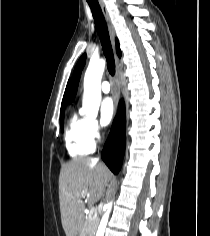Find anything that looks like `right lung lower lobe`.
Masks as SVG:
<instances>
[{"label": "right lung lower lobe", "mask_w": 210, "mask_h": 236, "mask_svg": "<svg viewBox=\"0 0 210 236\" xmlns=\"http://www.w3.org/2000/svg\"><path fill=\"white\" fill-rule=\"evenodd\" d=\"M125 148V110L120 102L118 114L113 122L108 140L102 151V159L109 169L117 174L120 170Z\"/></svg>", "instance_id": "obj_1"}]
</instances>
